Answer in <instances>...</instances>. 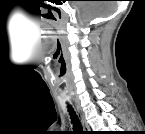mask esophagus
Returning <instances> with one entry per match:
<instances>
[{
	"label": "esophagus",
	"mask_w": 145,
	"mask_h": 134,
	"mask_svg": "<svg viewBox=\"0 0 145 134\" xmlns=\"http://www.w3.org/2000/svg\"><path fill=\"white\" fill-rule=\"evenodd\" d=\"M77 110L80 112V108H79L78 105H77ZM80 119H81V124H82L83 130L84 131H88L89 130V126L87 124L86 119L84 118V116L82 114L80 115Z\"/></svg>",
	"instance_id": "obj_1"
}]
</instances>
